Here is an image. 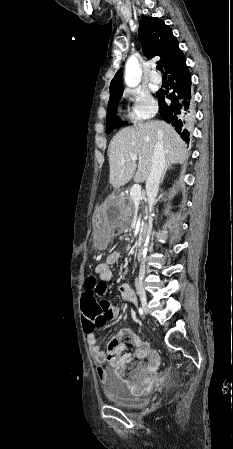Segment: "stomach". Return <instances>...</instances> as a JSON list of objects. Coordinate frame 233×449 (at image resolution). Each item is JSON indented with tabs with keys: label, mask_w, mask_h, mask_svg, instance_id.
<instances>
[{
	"label": "stomach",
	"mask_w": 233,
	"mask_h": 449,
	"mask_svg": "<svg viewBox=\"0 0 233 449\" xmlns=\"http://www.w3.org/2000/svg\"><path fill=\"white\" fill-rule=\"evenodd\" d=\"M119 199L120 197L117 196L111 197L102 207L101 212L94 213V220L96 221L97 227H99V234L101 236H106L110 227H115L122 215ZM98 247L100 249L105 248L106 241L101 240L98 243Z\"/></svg>",
	"instance_id": "stomach-1"
}]
</instances>
